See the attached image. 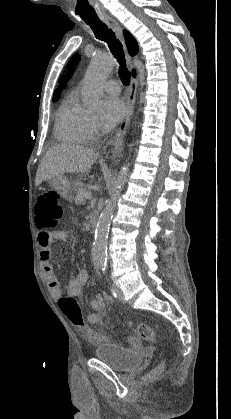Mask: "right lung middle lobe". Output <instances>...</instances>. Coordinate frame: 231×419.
<instances>
[{
  "label": "right lung middle lobe",
  "mask_w": 231,
  "mask_h": 419,
  "mask_svg": "<svg viewBox=\"0 0 231 419\" xmlns=\"http://www.w3.org/2000/svg\"><path fill=\"white\" fill-rule=\"evenodd\" d=\"M58 98H53V101H56Z\"/></svg>",
  "instance_id": "obj_1"
}]
</instances>
